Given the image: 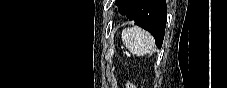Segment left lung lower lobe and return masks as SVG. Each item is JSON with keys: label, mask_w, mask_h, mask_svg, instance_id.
<instances>
[{"label": "left lung lower lobe", "mask_w": 227, "mask_h": 88, "mask_svg": "<svg viewBox=\"0 0 227 88\" xmlns=\"http://www.w3.org/2000/svg\"><path fill=\"white\" fill-rule=\"evenodd\" d=\"M119 12L143 29L149 31L155 38L158 48H161L167 16L165 0H119Z\"/></svg>", "instance_id": "0a47b994"}]
</instances>
